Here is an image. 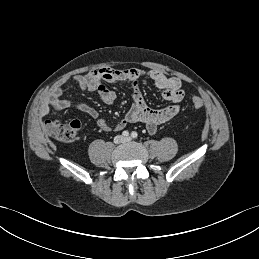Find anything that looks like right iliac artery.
<instances>
[{
  "label": "right iliac artery",
  "mask_w": 259,
  "mask_h": 259,
  "mask_svg": "<svg viewBox=\"0 0 259 259\" xmlns=\"http://www.w3.org/2000/svg\"><path fill=\"white\" fill-rule=\"evenodd\" d=\"M122 135L127 137L129 135V132L128 131H123Z\"/></svg>",
  "instance_id": "right-iliac-artery-1"
}]
</instances>
